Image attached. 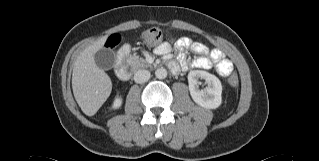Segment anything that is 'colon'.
<instances>
[{
    "mask_svg": "<svg viewBox=\"0 0 319 161\" xmlns=\"http://www.w3.org/2000/svg\"><path fill=\"white\" fill-rule=\"evenodd\" d=\"M169 33L165 29H162L160 27H153L147 29L142 34V40L143 42L148 46H154L159 44L165 37H168ZM119 42V36L114 37L113 43L117 44ZM238 76L236 74H232L229 77V84L232 87H236L238 85Z\"/></svg>",
    "mask_w": 319,
    "mask_h": 161,
    "instance_id": "5ec220e1",
    "label": "colon"
}]
</instances>
